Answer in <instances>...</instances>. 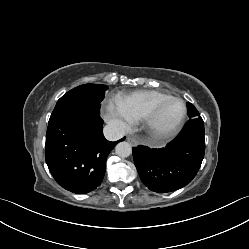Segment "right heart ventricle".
<instances>
[{"label": "right heart ventricle", "instance_id": "obj_1", "mask_svg": "<svg viewBox=\"0 0 249 249\" xmlns=\"http://www.w3.org/2000/svg\"><path fill=\"white\" fill-rule=\"evenodd\" d=\"M169 97H171L169 94L158 90H138L130 94L119 95L116 101L136 120H140L153 106Z\"/></svg>", "mask_w": 249, "mask_h": 249}]
</instances>
